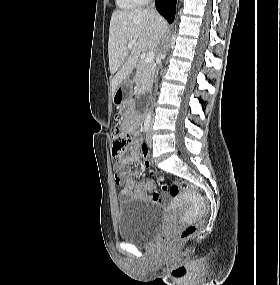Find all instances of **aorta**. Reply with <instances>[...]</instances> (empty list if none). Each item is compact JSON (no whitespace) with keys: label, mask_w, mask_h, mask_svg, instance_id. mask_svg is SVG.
I'll list each match as a JSON object with an SVG mask.
<instances>
[{"label":"aorta","mask_w":280,"mask_h":285,"mask_svg":"<svg viewBox=\"0 0 280 285\" xmlns=\"http://www.w3.org/2000/svg\"><path fill=\"white\" fill-rule=\"evenodd\" d=\"M152 113V109H150V111H149V115Z\"/></svg>","instance_id":"obj_1"}]
</instances>
